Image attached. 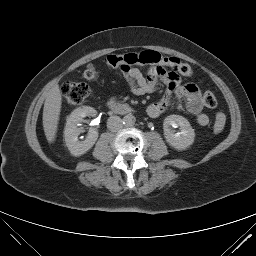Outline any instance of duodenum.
Here are the masks:
<instances>
[{"instance_id": "obj_1", "label": "duodenum", "mask_w": 256, "mask_h": 256, "mask_svg": "<svg viewBox=\"0 0 256 256\" xmlns=\"http://www.w3.org/2000/svg\"><path fill=\"white\" fill-rule=\"evenodd\" d=\"M109 109L115 113H119V114H127L129 112H131V108L123 103L117 102V101H110L108 103Z\"/></svg>"}]
</instances>
